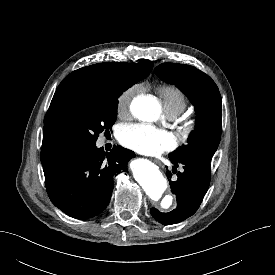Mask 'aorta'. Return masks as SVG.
Segmentation results:
<instances>
[{"label":"aorta","mask_w":275,"mask_h":275,"mask_svg":"<svg viewBox=\"0 0 275 275\" xmlns=\"http://www.w3.org/2000/svg\"><path fill=\"white\" fill-rule=\"evenodd\" d=\"M132 114L143 121H154L160 113L161 107L157 99L149 95H140L135 98L130 106ZM132 172L135 180L144 189L147 196L158 202L167 189V182L158 166L148 160H137L132 165ZM172 196H165L160 205L169 208L172 204Z\"/></svg>","instance_id":"obj_1"}]
</instances>
